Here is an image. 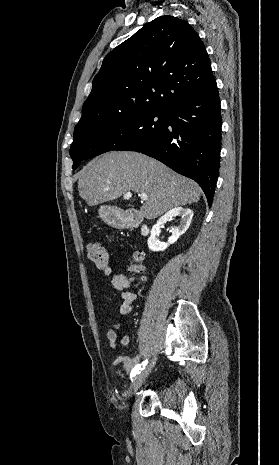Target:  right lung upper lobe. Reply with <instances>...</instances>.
<instances>
[{
	"label": "right lung upper lobe",
	"mask_w": 279,
	"mask_h": 465,
	"mask_svg": "<svg viewBox=\"0 0 279 465\" xmlns=\"http://www.w3.org/2000/svg\"><path fill=\"white\" fill-rule=\"evenodd\" d=\"M214 80L206 48L188 22L165 15L106 55L75 127L142 110H166Z\"/></svg>",
	"instance_id": "cb5924a9"
}]
</instances>
